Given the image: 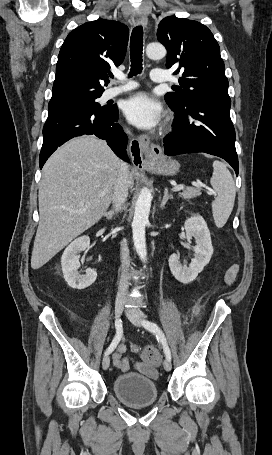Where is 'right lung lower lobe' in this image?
<instances>
[{
    "instance_id": "1",
    "label": "right lung lower lobe",
    "mask_w": 272,
    "mask_h": 455,
    "mask_svg": "<svg viewBox=\"0 0 272 455\" xmlns=\"http://www.w3.org/2000/svg\"><path fill=\"white\" fill-rule=\"evenodd\" d=\"M118 108L109 111L67 110L49 115L43 127V145L39 157L40 169L49 156L63 143L81 135H96L107 142L123 160L126 155L127 136L117 124Z\"/></svg>"
}]
</instances>
